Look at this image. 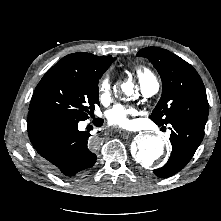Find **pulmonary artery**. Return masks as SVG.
Segmentation results:
<instances>
[{
  "label": "pulmonary artery",
  "mask_w": 221,
  "mask_h": 221,
  "mask_svg": "<svg viewBox=\"0 0 221 221\" xmlns=\"http://www.w3.org/2000/svg\"><path fill=\"white\" fill-rule=\"evenodd\" d=\"M159 83L154 76L150 77L145 83L141 85V91L145 96H152L157 93Z\"/></svg>",
  "instance_id": "1"
}]
</instances>
